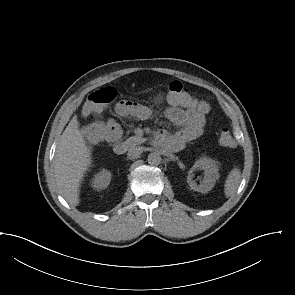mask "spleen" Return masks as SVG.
<instances>
[{"mask_svg": "<svg viewBox=\"0 0 295 295\" xmlns=\"http://www.w3.org/2000/svg\"><path fill=\"white\" fill-rule=\"evenodd\" d=\"M241 178V171L238 167L233 168L225 181L224 193L226 197L232 196L237 190Z\"/></svg>", "mask_w": 295, "mask_h": 295, "instance_id": "spleen-1", "label": "spleen"}]
</instances>
